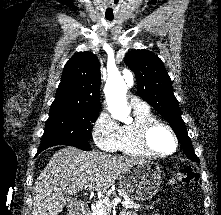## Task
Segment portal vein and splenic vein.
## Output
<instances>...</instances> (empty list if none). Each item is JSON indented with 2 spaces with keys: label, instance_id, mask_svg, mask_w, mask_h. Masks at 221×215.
<instances>
[{
  "label": "portal vein and splenic vein",
  "instance_id": "18ae733b",
  "mask_svg": "<svg viewBox=\"0 0 221 215\" xmlns=\"http://www.w3.org/2000/svg\"><path fill=\"white\" fill-rule=\"evenodd\" d=\"M99 202H104L108 207H111L112 205H116L119 202H121V199L120 198H115L112 202L106 201L104 199H100Z\"/></svg>",
  "mask_w": 221,
  "mask_h": 215
}]
</instances>
